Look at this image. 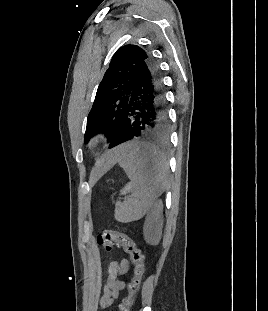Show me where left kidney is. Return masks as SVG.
I'll return each instance as SVG.
<instances>
[{"instance_id": "1", "label": "left kidney", "mask_w": 268, "mask_h": 311, "mask_svg": "<svg viewBox=\"0 0 268 311\" xmlns=\"http://www.w3.org/2000/svg\"><path fill=\"white\" fill-rule=\"evenodd\" d=\"M162 202L158 201L147 216L143 232L144 239L150 245H157L162 234Z\"/></svg>"}]
</instances>
